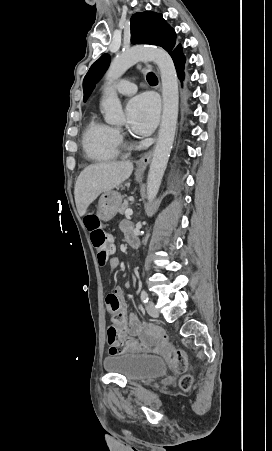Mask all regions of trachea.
<instances>
[{
	"label": "trachea",
	"mask_w": 272,
	"mask_h": 451,
	"mask_svg": "<svg viewBox=\"0 0 272 451\" xmlns=\"http://www.w3.org/2000/svg\"><path fill=\"white\" fill-rule=\"evenodd\" d=\"M147 80L150 84H157L158 82L157 77L151 72L147 74Z\"/></svg>",
	"instance_id": "obj_1"
}]
</instances>
